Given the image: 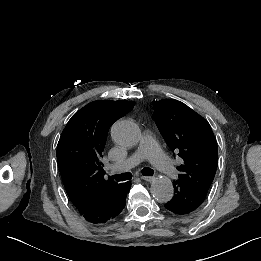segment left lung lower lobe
Masks as SVG:
<instances>
[{
    "instance_id": "1",
    "label": "left lung lower lobe",
    "mask_w": 261,
    "mask_h": 261,
    "mask_svg": "<svg viewBox=\"0 0 261 261\" xmlns=\"http://www.w3.org/2000/svg\"><path fill=\"white\" fill-rule=\"evenodd\" d=\"M175 193L165 208L178 215L188 214L197 209L205 200L207 192L202 189L180 181H174Z\"/></svg>"
}]
</instances>
